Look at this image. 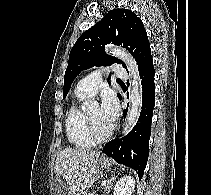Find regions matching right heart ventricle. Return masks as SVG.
I'll list each match as a JSON object with an SVG mask.
<instances>
[{"label": "right heart ventricle", "instance_id": "e07e8e85", "mask_svg": "<svg viewBox=\"0 0 211 195\" xmlns=\"http://www.w3.org/2000/svg\"><path fill=\"white\" fill-rule=\"evenodd\" d=\"M86 98L75 92V99L69 106L65 119L67 137L72 145L80 149L91 148L95 144L87 133L85 113L80 108V103Z\"/></svg>", "mask_w": 211, "mask_h": 195}]
</instances>
